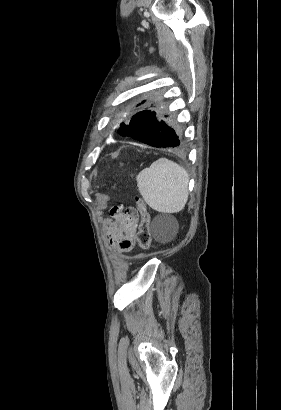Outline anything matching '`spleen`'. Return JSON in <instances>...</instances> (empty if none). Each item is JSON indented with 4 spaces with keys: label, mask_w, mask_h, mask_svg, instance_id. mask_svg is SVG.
Instances as JSON below:
<instances>
[{
    "label": "spleen",
    "mask_w": 281,
    "mask_h": 410,
    "mask_svg": "<svg viewBox=\"0 0 281 410\" xmlns=\"http://www.w3.org/2000/svg\"><path fill=\"white\" fill-rule=\"evenodd\" d=\"M138 190L145 202L161 213L180 212L188 200L189 176L177 163L160 158L136 177Z\"/></svg>",
    "instance_id": "obj_1"
}]
</instances>
